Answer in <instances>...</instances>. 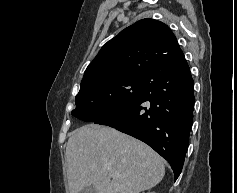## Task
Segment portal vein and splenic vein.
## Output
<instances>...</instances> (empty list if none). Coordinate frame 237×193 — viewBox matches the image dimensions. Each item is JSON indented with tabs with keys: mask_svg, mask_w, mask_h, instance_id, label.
Wrapping results in <instances>:
<instances>
[{
	"mask_svg": "<svg viewBox=\"0 0 237 193\" xmlns=\"http://www.w3.org/2000/svg\"><path fill=\"white\" fill-rule=\"evenodd\" d=\"M114 176H119V174H117L116 172L113 173Z\"/></svg>",
	"mask_w": 237,
	"mask_h": 193,
	"instance_id": "portal-vein-and-splenic-vein-1",
	"label": "portal vein and splenic vein"
}]
</instances>
